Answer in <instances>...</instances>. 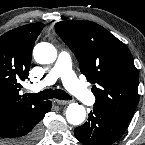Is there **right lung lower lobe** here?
<instances>
[{
	"instance_id": "obj_1",
	"label": "right lung lower lobe",
	"mask_w": 145,
	"mask_h": 145,
	"mask_svg": "<svg viewBox=\"0 0 145 145\" xmlns=\"http://www.w3.org/2000/svg\"><path fill=\"white\" fill-rule=\"evenodd\" d=\"M51 107V101H40L0 115V139L9 145H34L41 136L40 121Z\"/></svg>"
}]
</instances>
